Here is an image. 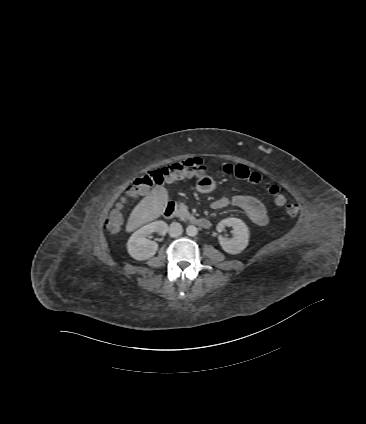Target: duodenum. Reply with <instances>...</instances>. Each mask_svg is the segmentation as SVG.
Returning <instances> with one entry per match:
<instances>
[{"label":"duodenum","mask_w":366,"mask_h":424,"mask_svg":"<svg viewBox=\"0 0 366 424\" xmlns=\"http://www.w3.org/2000/svg\"><path fill=\"white\" fill-rule=\"evenodd\" d=\"M164 216L167 219H173L181 217V213L175 203L169 202L164 208ZM189 221L204 229H208L211 226L210 221L206 218H191Z\"/></svg>","instance_id":"1"}]
</instances>
